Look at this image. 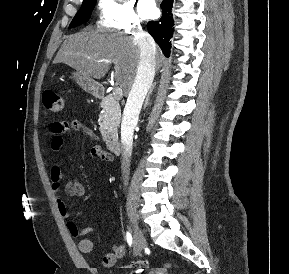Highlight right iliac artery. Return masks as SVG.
Segmentation results:
<instances>
[{"instance_id":"1","label":"right iliac artery","mask_w":289,"mask_h":274,"mask_svg":"<svg viewBox=\"0 0 289 274\" xmlns=\"http://www.w3.org/2000/svg\"><path fill=\"white\" fill-rule=\"evenodd\" d=\"M126 238H127V242L129 244V246H131L133 240H132V236H131V234L129 232L126 233Z\"/></svg>"}]
</instances>
